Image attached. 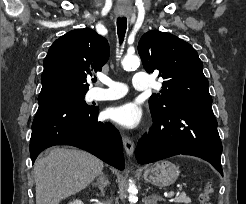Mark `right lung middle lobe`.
Returning a JSON list of instances; mask_svg holds the SVG:
<instances>
[{"instance_id": "right-lung-middle-lobe-1", "label": "right lung middle lobe", "mask_w": 246, "mask_h": 204, "mask_svg": "<svg viewBox=\"0 0 246 204\" xmlns=\"http://www.w3.org/2000/svg\"><path fill=\"white\" fill-rule=\"evenodd\" d=\"M61 96H73V97H78V98L84 100L85 93H70V94H64V95H61ZM84 103L86 104V102H84Z\"/></svg>"}]
</instances>
